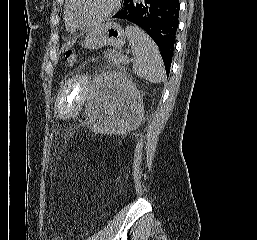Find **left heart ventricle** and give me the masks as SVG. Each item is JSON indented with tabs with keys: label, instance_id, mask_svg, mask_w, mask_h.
Listing matches in <instances>:
<instances>
[{
	"label": "left heart ventricle",
	"instance_id": "left-heart-ventricle-1",
	"mask_svg": "<svg viewBox=\"0 0 257 240\" xmlns=\"http://www.w3.org/2000/svg\"><path fill=\"white\" fill-rule=\"evenodd\" d=\"M112 0H74L71 13L78 22H88L103 14Z\"/></svg>",
	"mask_w": 257,
	"mask_h": 240
}]
</instances>
